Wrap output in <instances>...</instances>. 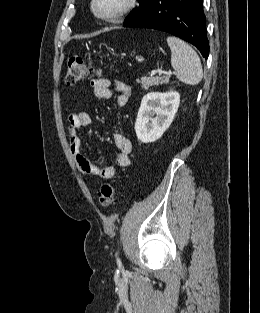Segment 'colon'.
I'll return each instance as SVG.
<instances>
[{"mask_svg": "<svg viewBox=\"0 0 260 313\" xmlns=\"http://www.w3.org/2000/svg\"><path fill=\"white\" fill-rule=\"evenodd\" d=\"M98 73V69L90 60L80 56H72L68 60L65 82L67 85H76L87 77ZM114 201V188L111 184H104L99 192V203L109 207Z\"/></svg>", "mask_w": 260, "mask_h": 313, "instance_id": "5ec220e1", "label": "colon"}]
</instances>
